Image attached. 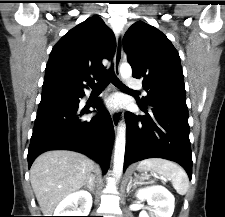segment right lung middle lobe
I'll use <instances>...</instances> for the list:
<instances>
[{"mask_svg":"<svg viewBox=\"0 0 225 217\" xmlns=\"http://www.w3.org/2000/svg\"><path fill=\"white\" fill-rule=\"evenodd\" d=\"M78 94H53L48 96H42L41 100H52V99H75Z\"/></svg>","mask_w":225,"mask_h":217,"instance_id":"dd1d6c3e","label":"right lung middle lobe"}]
</instances>
